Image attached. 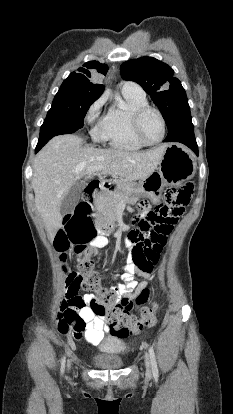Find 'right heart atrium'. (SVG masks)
<instances>
[{"label": "right heart atrium", "instance_id": "obj_1", "mask_svg": "<svg viewBox=\"0 0 233 414\" xmlns=\"http://www.w3.org/2000/svg\"><path fill=\"white\" fill-rule=\"evenodd\" d=\"M105 103V98L101 97L97 101H95L90 108L87 111L86 114V121L88 124L92 125L94 121L96 120L97 116L100 113V110L102 109L103 105ZM94 137L96 139H101L100 133L98 132V129L94 131Z\"/></svg>", "mask_w": 233, "mask_h": 414}]
</instances>
